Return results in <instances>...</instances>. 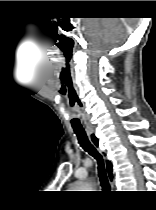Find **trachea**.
<instances>
[{"mask_svg": "<svg viewBox=\"0 0 156 210\" xmlns=\"http://www.w3.org/2000/svg\"><path fill=\"white\" fill-rule=\"evenodd\" d=\"M75 134L78 138L80 146L97 160L98 174H99L101 185L103 187H109V182H108L107 173L104 166L102 155L97 151V149L93 146V144H91V142L89 141L86 135V132L75 131Z\"/></svg>", "mask_w": 156, "mask_h": 210, "instance_id": "trachea-1", "label": "trachea"}]
</instances>
